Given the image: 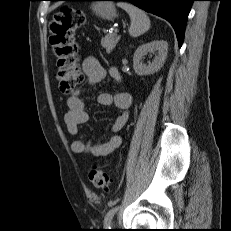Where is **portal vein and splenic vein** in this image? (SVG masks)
<instances>
[{
  "mask_svg": "<svg viewBox=\"0 0 231 231\" xmlns=\"http://www.w3.org/2000/svg\"><path fill=\"white\" fill-rule=\"evenodd\" d=\"M117 32H118V30L116 29V30H115V33H117Z\"/></svg>",
  "mask_w": 231,
  "mask_h": 231,
  "instance_id": "18ae733b",
  "label": "portal vein and splenic vein"
}]
</instances>
